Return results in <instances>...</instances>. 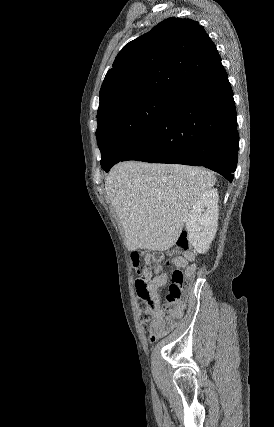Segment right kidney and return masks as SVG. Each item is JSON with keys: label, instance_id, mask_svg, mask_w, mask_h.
Instances as JSON below:
<instances>
[{"label": "right kidney", "instance_id": "1", "mask_svg": "<svg viewBox=\"0 0 274 427\" xmlns=\"http://www.w3.org/2000/svg\"><path fill=\"white\" fill-rule=\"evenodd\" d=\"M219 196L216 188L199 196L186 217L187 239L197 253L208 251L218 227Z\"/></svg>", "mask_w": 274, "mask_h": 427}]
</instances>
